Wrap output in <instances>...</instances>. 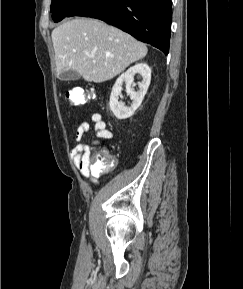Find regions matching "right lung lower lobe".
Returning <instances> with one entry per match:
<instances>
[{
    "instance_id": "obj_1",
    "label": "right lung lower lobe",
    "mask_w": 243,
    "mask_h": 289,
    "mask_svg": "<svg viewBox=\"0 0 243 289\" xmlns=\"http://www.w3.org/2000/svg\"><path fill=\"white\" fill-rule=\"evenodd\" d=\"M71 16L97 18L169 52L171 0H85Z\"/></svg>"
}]
</instances>
